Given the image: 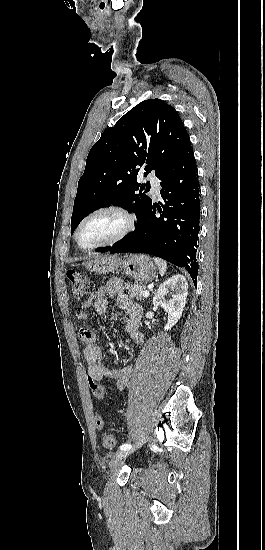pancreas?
Instances as JSON below:
<instances>
[{
  "label": "pancreas",
  "mask_w": 265,
  "mask_h": 550,
  "mask_svg": "<svg viewBox=\"0 0 265 550\" xmlns=\"http://www.w3.org/2000/svg\"><path fill=\"white\" fill-rule=\"evenodd\" d=\"M125 288L127 289L128 294L131 298H135L136 300L143 299L142 293L146 290L145 285L127 282L125 284Z\"/></svg>",
  "instance_id": "pancreas-1"
}]
</instances>
